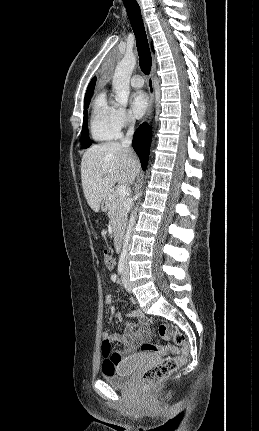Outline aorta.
I'll use <instances>...</instances> for the list:
<instances>
[{"label":"aorta","mask_w":259,"mask_h":431,"mask_svg":"<svg viewBox=\"0 0 259 431\" xmlns=\"http://www.w3.org/2000/svg\"><path fill=\"white\" fill-rule=\"evenodd\" d=\"M136 65V58L133 54H126L122 60L117 64L113 79L112 86L115 91V101L120 106L126 107L128 104V98L130 94V77ZM142 196V193L138 194V198ZM138 209V205L134 208L133 213L131 214L127 230L124 236L123 241V254L127 253L129 248V241L131 238V233L133 230V226L136 220V212Z\"/></svg>","instance_id":"obj_1"}]
</instances>
